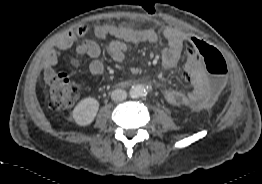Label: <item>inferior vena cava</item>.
Instances as JSON below:
<instances>
[{
  "mask_svg": "<svg viewBox=\"0 0 262 184\" xmlns=\"http://www.w3.org/2000/svg\"><path fill=\"white\" fill-rule=\"evenodd\" d=\"M126 97H127V92L123 89H115L111 93V98L115 102L122 101V100L126 99Z\"/></svg>",
  "mask_w": 262,
  "mask_h": 184,
  "instance_id": "602c4592",
  "label": "inferior vena cava"
}]
</instances>
